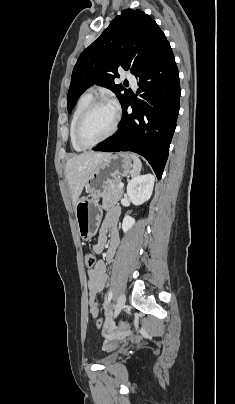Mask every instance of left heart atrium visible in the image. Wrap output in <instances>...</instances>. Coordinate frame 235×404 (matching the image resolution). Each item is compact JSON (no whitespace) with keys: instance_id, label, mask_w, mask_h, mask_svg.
<instances>
[{"instance_id":"39dd6f15","label":"left heart atrium","mask_w":235,"mask_h":404,"mask_svg":"<svg viewBox=\"0 0 235 404\" xmlns=\"http://www.w3.org/2000/svg\"><path fill=\"white\" fill-rule=\"evenodd\" d=\"M113 106H114V107H117L116 103H113Z\"/></svg>"}]
</instances>
